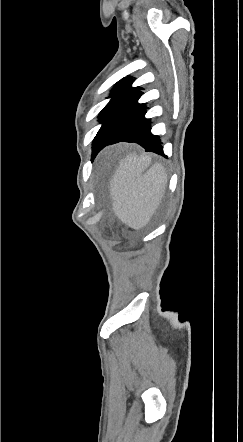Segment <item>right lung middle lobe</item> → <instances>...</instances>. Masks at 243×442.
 I'll list each match as a JSON object with an SVG mask.
<instances>
[{
    "mask_svg": "<svg viewBox=\"0 0 243 442\" xmlns=\"http://www.w3.org/2000/svg\"><path fill=\"white\" fill-rule=\"evenodd\" d=\"M124 98L120 97H113L110 102L105 106V108L100 112V115L98 116L99 121L103 122L106 117L112 112V110L115 108V106L121 102Z\"/></svg>",
    "mask_w": 243,
    "mask_h": 442,
    "instance_id": "right-lung-middle-lobe-1",
    "label": "right lung middle lobe"
}]
</instances>
